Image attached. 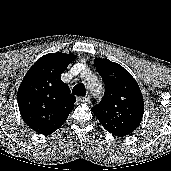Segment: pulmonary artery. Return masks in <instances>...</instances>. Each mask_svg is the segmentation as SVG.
<instances>
[{
	"label": "pulmonary artery",
	"instance_id": "e3ab8cb5",
	"mask_svg": "<svg viewBox=\"0 0 171 171\" xmlns=\"http://www.w3.org/2000/svg\"><path fill=\"white\" fill-rule=\"evenodd\" d=\"M87 87H91V84H88V86Z\"/></svg>",
	"mask_w": 171,
	"mask_h": 171
}]
</instances>
